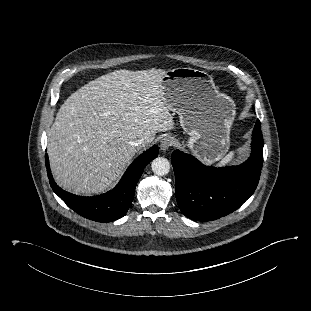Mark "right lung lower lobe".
<instances>
[{
	"mask_svg": "<svg viewBox=\"0 0 311 311\" xmlns=\"http://www.w3.org/2000/svg\"><path fill=\"white\" fill-rule=\"evenodd\" d=\"M158 155L157 145L143 152L128 167L118 185L106 194L81 197L70 194L54 182L48 155H45L47 174L53 191L79 215L97 222H110L124 216L132 203L135 187L144 168Z\"/></svg>",
	"mask_w": 311,
	"mask_h": 311,
	"instance_id": "98d812e1",
	"label": "right lung lower lobe"
}]
</instances>
